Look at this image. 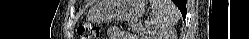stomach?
<instances>
[{"label": "stomach", "mask_w": 249, "mask_h": 39, "mask_svg": "<svg viewBox=\"0 0 249 39\" xmlns=\"http://www.w3.org/2000/svg\"><path fill=\"white\" fill-rule=\"evenodd\" d=\"M145 11L143 0H98L89 10L88 19L93 23L112 20L135 21Z\"/></svg>", "instance_id": "obj_1"}]
</instances>
